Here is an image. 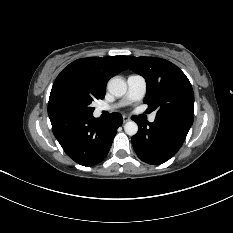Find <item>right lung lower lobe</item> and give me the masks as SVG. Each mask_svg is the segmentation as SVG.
<instances>
[{
  "mask_svg": "<svg viewBox=\"0 0 233 233\" xmlns=\"http://www.w3.org/2000/svg\"><path fill=\"white\" fill-rule=\"evenodd\" d=\"M53 133L65 153L83 166L100 163L108 154L122 116L112 113L105 121L92 114L49 115Z\"/></svg>",
  "mask_w": 233,
  "mask_h": 233,
  "instance_id": "1",
  "label": "right lung lower lobe"
}]
</instances>
